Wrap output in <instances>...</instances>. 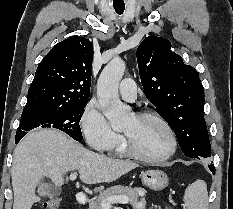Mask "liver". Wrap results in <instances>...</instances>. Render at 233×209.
<instances>
[{
  "mask_svg": "<svg viewBox=\"0 0 233 209\" xmlns=\"http://www.w3.org/2000/svg\"><path fill=\"white\" fill-rule=\"evenodd\" d=\"M137 167V164L88 150L61 131H33L14 150L11 168L13 209H31L40 201L35 189L44 177L51 179L55 186H62L63 175L77 170L86 184L108 183Z\"/></svg>",
  "mask_w": 233,
  "mask_h": 209,
  "instance_id": "6515ba94",
  "label": "liver"
}]
</instances>
